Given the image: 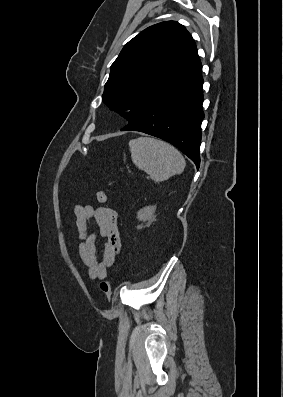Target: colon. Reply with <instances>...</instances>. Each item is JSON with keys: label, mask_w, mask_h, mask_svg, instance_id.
<instances>
[{"label": "colon", "mask_w": 283, "mask_h": 397, "mask_svg": "<svg viewBox=\"0 0 283 397\" xmlns=\"http://www.w3.org/2000/svg\"><path fill=\"white\" fill-rule=\"evenodd\" d=\"M96 199L99 203H105L107 201V195L105 191L99 189L96 191ZM100 289L106 295L108 299L112 297V288L108 281L103 280L100 282Z\"/></svg>", "instance_id": "1"}]
</instances>
